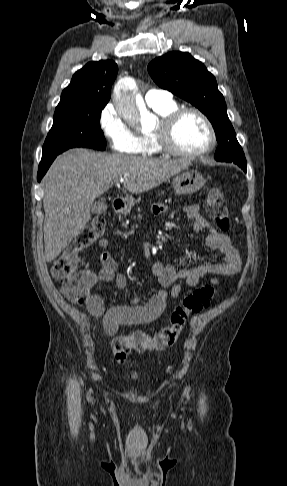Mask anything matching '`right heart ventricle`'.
<instances>
[{"instance_id":"obj_1","label":"right heart ventricle","mask_w":287,"mask_h":486,"mask_svg":"<svg viewBox=\"0 0 287 486\" xmlns=\"http://www.w3.org/2000/svg\"><path fill=\"white\" fill-rule=\"evenodd\" d=\"M152 109L161 117H165L170 112L177 109V104L172 101L167 104L151 106ZM162 151L159 148L153 133L152 134H143L139 136V150L137 151L138 154L142 156H155L160 154Z\"/></svg>"}]
</instances>
